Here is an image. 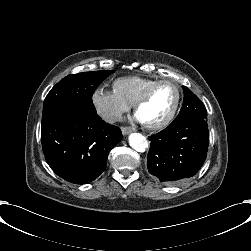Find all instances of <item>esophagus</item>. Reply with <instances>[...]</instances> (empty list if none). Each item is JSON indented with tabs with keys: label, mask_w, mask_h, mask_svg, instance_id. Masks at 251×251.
<instances>
[{
	"label": "esophagus",
	"mask_w": 251,
	"mask_h": 251,
	"mask_svg": "<svg viewBox=\"0 0 251 251\" xmlns=\"http://www.w3.org/2000/svg\"><path fill=\"white\" fill-rule=\"evenodd\" d=\"M121 130L124 135H128L134 131V128L130 126H123L121 127Z\"/></svg>",
	"instance_id": "34e87169"
}]
</instances>
